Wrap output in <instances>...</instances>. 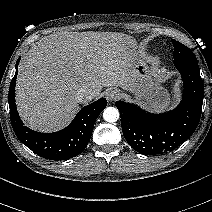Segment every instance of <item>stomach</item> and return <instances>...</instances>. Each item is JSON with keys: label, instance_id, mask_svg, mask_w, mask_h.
<instances>
[{"label": "stomach", "instance_id": "stomach-1", "mask_svg": "<svg viewBox=\"0 0 212 212\" xmlns=\"http://www.w3.org/2000/svg\"><path fill=\"white\" fill-rule=\"evenodd\" d=\"M127 73L130 86L126 90L133 95L135 101L154 110H162L169 105V93L154 78L142 57L133 55L128 61Z\"/></svg>", "mask_w": 212, "mask_h": 212}]
</instances>
